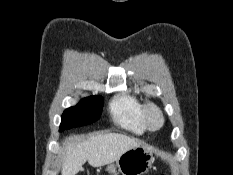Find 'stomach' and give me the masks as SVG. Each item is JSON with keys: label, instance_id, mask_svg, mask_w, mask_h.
Instances as JSON below:
<instances>
[{"label": "stomach", "instance_id": "1", "mask_svg": "<svg viewBox=\"0 0 233 175\" xmlns=\"http://www.w3.org/2000/svg\"><path fill=\"white\" fill-rule=\"evenodd\" d=\"M154 161L153 149L148 145H139L123 153L115 162L106 167L109 175H142L148 171Z\"/></svg>", "mask_w": 233, "mask_h": 175}]
</instances>
